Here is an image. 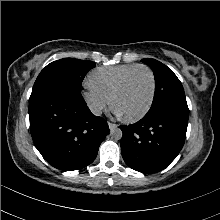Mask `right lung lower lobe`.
<instances>
[{
    "label": "right lung lower lobe",
    "instance_id": "obj_1",
    "mask_svg": "<svg viewBox=\"0 0 220 220\" xmlns=\"http://www.w3.org/2000/svg\"><path fill=\"white\" fill-rule=\"evenodd\" d=\"M29 118L36 148L49 164L63 171L92 163L109 132L106 121L90 112L80 92L63 87L32 91Z\"/></svg>",
    "mask_w": 220,
    "mask_h": 220
}]
</instances>
